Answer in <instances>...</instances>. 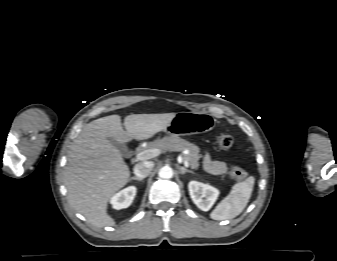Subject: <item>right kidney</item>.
Instances as JSON below:
<instances>
[{"mask_svg":"<svg viewBox=\"0 0 337 261\" xmlns=\"http://www.w3.org/2000/svg\"><path fill=\"white\" fill-rule=\"evenodd\" d=\"M136 191V187L129 186L115 194L111 198V204L113 205V208L119 210L129 207L136 195Z\"/></svg>","mask_w":337,"mask_h":261,"instance_id":"obj_1","label":"right kidney"}]
</instances>
